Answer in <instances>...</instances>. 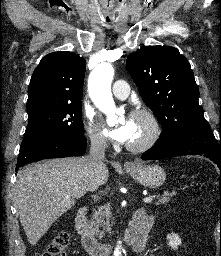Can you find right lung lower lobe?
Listing matches in <instances>:
<instances>
[{
  "label": "right lung lower lobe",
  "mask_w": 221,
  "mask_h": 256,
  "mask_svg": "<svg viewBox=\"0 0 221 256\" xmlns=\"http://www.w3.org/2000/svg\"><path fill=\"white\" fill-rule=\"evenodd\" d=\"M86 145L87 140L84 134L65 133L48 137L20 151L17 167L42 159L83 155Z\"/></svg>",
  "instance_id": "right-lung-lower-lobe-1"
}]
</instances>
